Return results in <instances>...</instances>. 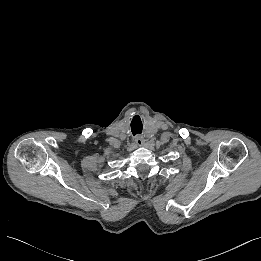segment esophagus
Instances as JSON below:
<instances>
[{
	"label": "esophagus",
	"mask_w": 261,
	"mask_h": 261,
	"mask_svg": "<svg viewBox=\"0 0 261 261\" xmlns=\"http://www.w3.org/2000/svg\"><path fill=\"white\" fill-rule=\"evenodd\" d=\"M134 143L136 146H142L144 144V141L142 139L136 138Z\"/></svg>",
	"instance_id": "esophagus-1"
}]
</instances>
